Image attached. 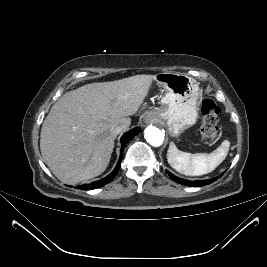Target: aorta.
I'll return each instance as SVG.
<instances>
[{
	"label": "aorta",
	"instance_id": "1",
	"mask_svg": "<svg viewBox=\"0 0 267 267\" xmlns=\"http://www.w3.org/2000/svg\"><path fill=\"white\" fill-rule=\"evenodd\" d=\"M144 136L150 145L157 147L162 145L165 134L163 130L149 125L144 131Z\"/></svg>",
	"mask_w": 267,
	"mask_h": 267
}]
</instances>
